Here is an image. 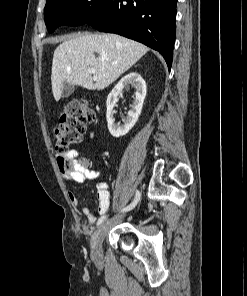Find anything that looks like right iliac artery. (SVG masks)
Returning a JSON list of instances; mask_svg holds the SVG:
<instances>
[{
    "mask_svg": "<svg viewBox=\"0 0 247 296\" xmlns=\"http://www.w3.org/2000/svg\"><path fill=\"white\" fill-rule=\"evenodd\" d=\"M140 197H141V194L137 190L133 202L130 205H128L127 207L123 208L121 211L122 212H126V211H129V210L133 209L137 205V203L139 202ZM106 219H107V216L106 215L100 217L99 220H98V222H97V226H99L100 224H102Z\"/></svg>",
    "mask_w": 247,
    "mask_h": 296,
    "instance_id": "obj_1",
    "label": "right iliac artery"
}]
</instances>
